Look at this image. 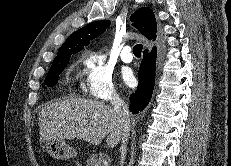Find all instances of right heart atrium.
<instances>
[{"label":"right heart atrium","instance_id":"right-heart-atrium-1","mask_svg":"<svg viewBox=\"0 0 231 166\" xmlns=\"http://www.w3.org/2000/svg\"><path fill=\"white\" fill-rule=\"evenodd\" d=\"M82 63L84 66L83 89L88 96L99 100L118 97L112 72L100 54L87 51L83 54Z\"/></svg>","mask_w":231,"mask_h":166}]
</instances>
